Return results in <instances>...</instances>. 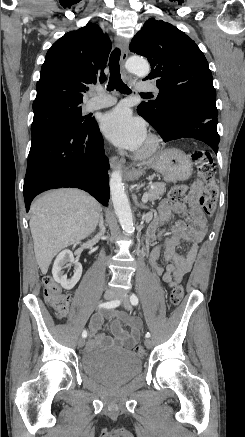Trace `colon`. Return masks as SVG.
<instances>
[{"label":"colon","mask_w":245,"mask_h":437,"mask_svg":"<svg viewBox=\"0 0 245 437\" xmlns=\"http://www.w3.org/2000/svg\"><path fill=\"white\" fill-rule=\"evenodd\" d=\"M199 176L205 182V193L199 199V208L206 215H212L218 197V188L214 178V165L212 156L206 151H196L192 154ZM187 186H177L170 192L169 198L174 203H184L187 197ZM44 297L54 309L58 317H64L69 308L70 297L64 293L52 277L44 279ZM183 298V288L175 286L170 294V303L177 305ZM134 352L139 357L145 356V349L138 345Z\"/></svg>","instance_id":"colon-1"}]
</instances>
